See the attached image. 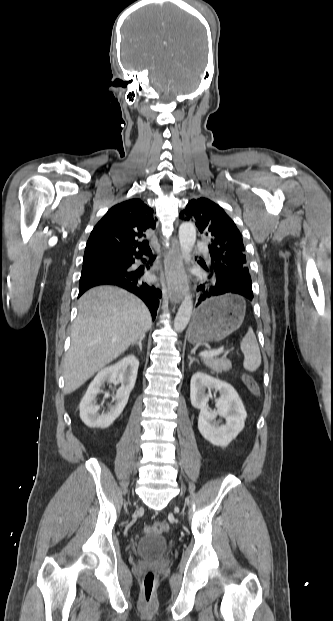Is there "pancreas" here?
I'll list each match as a JSON object with an SVG mask.
<instances>
[{"label": "pancreas", "instance_id": "pancreas-1", "mask_svg": "<svg viewBox=\"0 0 333 621\" xmlns=\"http://www.w3.org/2000/svg\"><path fill=\"white\" fill-rule=\"evenodd\" d=\"M202 361L215 373H221L222 371H229L231 369V361L227 359L226 356L221 358L205 357L202 358Z\"/></svg>", "mask_w": 333, "mask_h": 621}]
</instances>
